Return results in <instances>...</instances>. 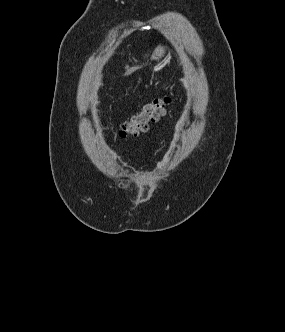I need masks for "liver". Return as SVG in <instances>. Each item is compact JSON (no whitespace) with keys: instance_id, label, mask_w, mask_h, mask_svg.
Returning a JSON list of instances; mask_svg holds the SVG:
<instances>
[{"instance_id":"6515ba94","label":"liver","mask_w":285,"mask_h":332,"mask_svg":"<svg viewBox=\"0 0 285 332\" xmlns=\"http://www.w3.org/2000/svg\"><path fill=\"white\" fill-rule=\"evenodd\" d=\"M135 69H137V67H132L130 69H127V71L125 72V75L131 74L133 71H135Z\"/></svg>"}]
</instances>
